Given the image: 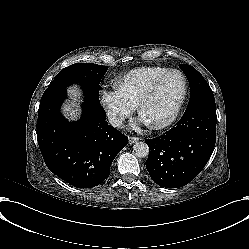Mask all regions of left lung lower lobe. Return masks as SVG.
<instances>
[{"label":"left lung lower lobe","instance_id":"0a47b994","mask_svg":"<svg viewBox=\"0 0 249 249\" xmlns=\"http://www.w3.org/2000/svg\"><path fill=\"white\" fill-rule=\"evenodd\" d=\"M215 102H205L186 109L180 121L154 139L146 168L151 179L161 187L178 188L192 181L208 162L216 142Z\"/></svg>","mask_w":249,"mask_h":249}]
</instances>
